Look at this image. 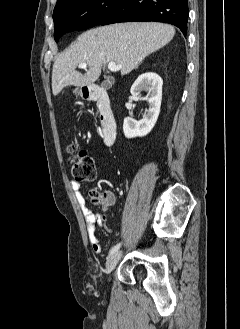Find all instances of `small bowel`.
I'll return each mask as SVG.
<instances>
[{"instance_id": "c3829d8e", "label": "small bowel", "mask_w": 240, "mask_h": 329, "mask_svg": "<svg viewBox=\"0 0 240 329\" xmlns=\"http://www.w3.org/2000/svg\"><path fill=\"white\" fill-rule=\"evenodd\" d=\"M70 186L75 195L76 201H77L78 205L80 206V209L84 215V219H85V223H86V227H87V234H88L90 244L92 246V250L95 253H100L102 251V245H101L100 240L97 238V236L95 234V230H96V224L102 225L103 221L100 219V217L96 213H94L87 207L85 198L82 194L81 184L76 181H72L70 183ZM109 203L110 204L113 203L112 198L110 199Z\"/></svg>"}]
</instances>
